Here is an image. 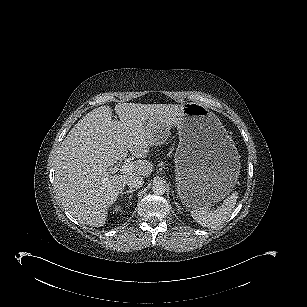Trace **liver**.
Returning a JSON list of instances; mask_svg holds the SVG:
<instances>
[{"label":"liver","instance_id":"6515ba94","mask_svg":"<svg viewBox=\"0 0 307 307\" xmlns=\"http://www.w3.org/2000/svg\"><path fill=\"white\" fill-rule=\"evenodd\" d=\"M178 105L118 103L112 119L109 106L98 107L70 130L54 162L55 186L63 207L79 222L101 227L107 209L133 176L148 177L153 164L146 158L155 138L144 124L154 115H172ZM130 152L139 160L134 169L110 175L108 168ZM141 159V160H140Z\"/></svg>","mask_w":307,"mask_h":307}]
</instances>
